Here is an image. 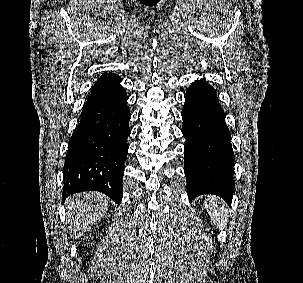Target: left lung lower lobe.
Here are the masks:
<instances>
[{"mask_svg": "<svg viewBox=\"0 0 303 283\" xmlns=\"http://www.w3.org/2000/svg\"><path fill=\"white\" fill-rule=\"evenodd\" d=\"M184 171L190 200L215 194L229 205L234 193L231 135L216 91L205 80L195 81L185 94L182 110Z\"/></svg>", "mask_w": 303, "mask_h": 283, "instance_id": "1", "label": "left lung lower lobe"}]
</instances>
